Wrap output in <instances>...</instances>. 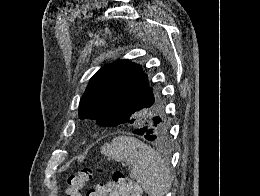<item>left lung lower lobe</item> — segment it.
I'll list each match as a JSON object with an SVG mask.
<instances>
[{
    "label": "left lung lower lobe",
    "instance_id": "0a47b994",
    "mask_svg": "<svg viewBox=\"0 0 260 196\" xmlns=\"http://www.w3.org/2000/svg\"><path fill=\"white\" fill-rule=\"evenodd\" d=\"M134 114V108L111 106L98 119L97 123L102 126H117L125 123ZM152 125L145 124L133 129L132 133L141 135L145 139L152 141Z\"/></svg>",
    "mask_w": 260,
    "mask_h": 196
}]
</instances>
